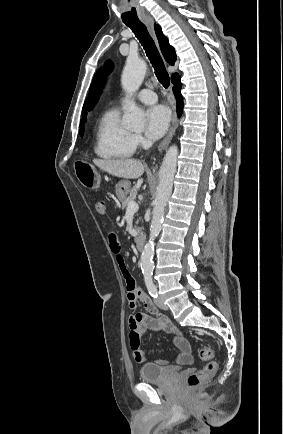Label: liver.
I'll return each mask as SVG.
<instances>
[{"instance_id": "liver-1", "label": "liver", "mask_w": 283, "mask_h": 434, "mask_svg": "<svg viewBox=\"0 0 283 434\" xmlns=\"http://www.w3.org/2000/svg\"><path fill=\"white\" fill-rule=\"evenodd\" d=\"M93 163L107 173L125 179H137L141 177L145 168L143 163L136 159H94Z\"/></svg>"}]
</instances>
